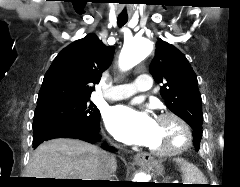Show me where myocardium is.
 Wrapping results in <instances>:
<instances>
[{"label":"myocardium","instance_id":"f54148a6","mask_svg":"<svg viewBox=\"0 0 240 187\" xmlns=\"http://www.w3.org/2000/svg\"><path fill=\"white\" fill-rule=\"evenodd\" d=\"M165 119H170L174 121L175 124L178 126L181 134V140L179 144L166 149L149 148L148 151L149 153L159 157H170L181 154L184 151H186L192 144L193 137L191 128L186 122V120L176 112L173 111L163 112L158 116L157 121Z\"/></svg>","mask_w":240,"mask_h":187}]
</instances>
